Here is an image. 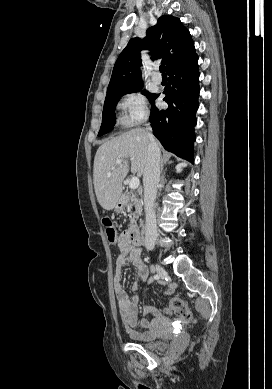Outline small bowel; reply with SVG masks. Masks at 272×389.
Here are the masks:
<instances>
[{"mask_svg": "<svg viewBox=\"0 0 272 389\" xmlns=\"http://www.w3.org/2000/svg\"><path fill=\"white\" fill-rule=\"evenodd\" d=\"M127 232H122L117 242L119 254L116 258L114 292L118 302L119 313L127 333L136 340H150L153 338V333L149 329L151 319L145 317L138 320L139 297L137 295L129 297L121 282V271L127 263H131L137 268L140 282L145 281L148 277V267L141 259V251L131 245ZM139 285V282L133 283L132 289L137 291ZM171 292L172 287L168 286L165 294H170ZM166 312H169V309H166ZM143 313L145 316H152L153 318L160 317V312L150 305L143 307Z\"/></svg>", "mask_w": 272, "mask_h": 389, "instance_id": "obj_1", "label": "small bowel"}]
</instances>
